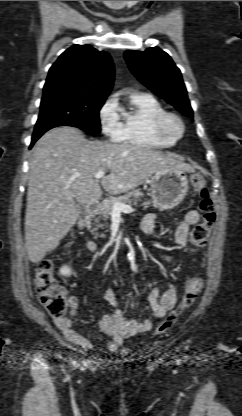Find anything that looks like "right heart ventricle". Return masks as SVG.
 Segmentation results:
<instances>
[{
	"label": "right heart ventricle",
	"instance_id": "right-heart-ventricle-1",
	"mask_svg": "<svg viewBox=\"0 0 242 416\" xmlns=\"http://www.w3.org/2000/svg\"><path fill=\"white\" fill-rule=\"evenodd\" d=\"M119 110L122 128L115 139L117 142L150 148H167L175 144L176 141L158 135L154 129L155 120L166 110L153 95L133 92Z\"/></svg>",
	"mask_w": 242,
	"mask_h": 416
}]
</instances>
